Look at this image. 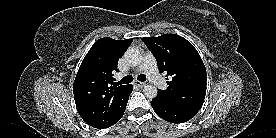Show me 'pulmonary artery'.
Returning <instances> with one entry per match:
<instances>
[{
  "label": "pulmonary artery",
  "instance_id": "pulmonary-artery-1",
  "mask_svg": "<svg viewBox=\"0 0 276 138\" xmlns=\"http://www.w3.org/2000/svg\"><path fill=\"white\" fill-rule=\"evenodd\" d=\"M138 70L144 72L147 75L150 82L158 88H166V81L159 74L156 59L150 52L145 53L142 63L140 64Z\"/></svg>",
  "mask_w": 276,
  "mask_h": 138
}]
</instances>
